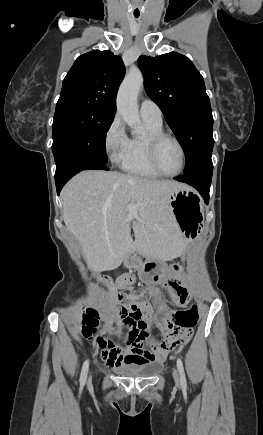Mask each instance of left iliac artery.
<instances>
[{
	"label": "left iliac artery",
	"instance_id": "obj_1",
	"mask_svg": "<svg viewBox=\"0 0 263 435\" xmlns=\"http://www.w3.org/2000/svg\"><path fill=\"white\" fill-rule=\"evenodd\" d=\"M177 368H178L179 375H180L181 386L186 387L187 383H186L184 367H183L182 360L180 358H177Z\"/></svg>",
	"mask_w": 263,
	"mask_h": 435
}]
</instances>
